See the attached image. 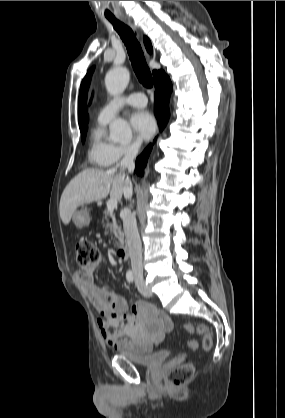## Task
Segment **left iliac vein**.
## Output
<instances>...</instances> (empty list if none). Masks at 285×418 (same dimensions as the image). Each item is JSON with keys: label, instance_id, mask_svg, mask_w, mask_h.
Instances as JSON below:
<instances>
[{"label": "left iliac vein", "instance_id": "obj_1", "mask_svg": "<svg viewBox=\"0 0 285 418\" xmlns=\"http://www.w3.org/2000/svg\"><path fill=\"white\" fill-rule=\"evenodd\" d=\"M136 286L138 288V291L145 297H150L151 296V291L148 289V287L145 285L144 280L142 278H137L136 281Z\"/></svg>", "mask_w": 285, "mask_h": 418}]
</instances>
